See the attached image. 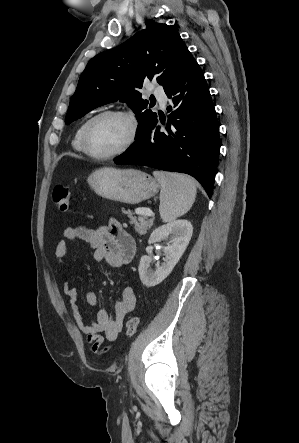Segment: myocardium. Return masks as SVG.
<instances>
[{"mask_svg":"<svg viewBox=\"0 0 299 443\" xmlns=\"http://www.w3.org/2000/svg\"><path fill=\"white\" fill-rule=\"evenodd\" d=\"M105 116H117V117H121V118L125 119L129 124L130 131H129V136H128L126 142L123 144V146H121L119 149H117L114 152L100 155V154L94 153L90 149L88 136H89V131H90L92 124L95 121H97L98 119L105 117ZM137 134H138V124H137L135 117L131 113L124 111V110H119V109H107V110H103V111L93 115L91 118H89L87 120V122L84 125L83 131H82L81 142H82V147L84 149V152L89 157L96 159V160H109V159H113V158L118 157V156L124 154L125 152H127L132 147V145L135 143L136 138H137Z\"/></svg>","mask_w":299,"mask_h":443,"instance_id":"obj_1","label":"myocardium"}]
</instances>
